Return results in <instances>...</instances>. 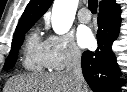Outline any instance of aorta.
I'll return each instance as SVG.
<instances>
[{"instance_id": "762f6f07", "label": "aorta", "mask_w": 127, "mask_h": 92, "mask_svg": "<svg viewBox=\"0 0 127 92\" xmlns=\"http://www.w3.org/2000/svg\"><path fill=\"white\" fill-rule=\"evenodd\" d=\"M78 0H55L52 8L51 23L57 34L67 33L74 21Z\"/></svg>"}]
</instances>
